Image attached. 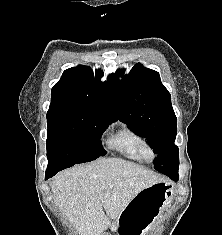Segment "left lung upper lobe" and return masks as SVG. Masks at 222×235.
Instances as JSON below:
<instances>
[{
    "label": "left lung upper lobe",
    "instance_id": "1",
    "mask_svg": "<svg viewBox=\"0 0 222 235\" xmlns=\"http://www.w3.org/2000/svg\"><path fill=\"white\" fill-rule=\"evenodd\" d=\"M123 75L124 70L120 69L108 79L119 120L148 140L158 154L154 161L158 172L169 178L178 177L179 150L174 144L177 119L170 93L161 83L159 73L140 63Z\"/></svg>",
    "mask_w": 222,
    "mask_h": 235
}]
</instances>
